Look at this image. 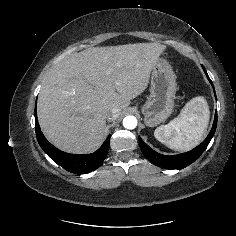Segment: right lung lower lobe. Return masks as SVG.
Wrapping results in <instances>:
<instances>
[{
  "label": "right lung lower lobe",
  "instance_id": "98d812e1",
  "mask_svg": "<svg viewBox=\"0 0 236 236\" xmlns=\"http://www.w3.org/2000/svg\"><path fill=\"white\" fill-rule=\"evenodd\" d=\"M35 131L38 143L43 151L65 170L78 175L89 173L101 166L107 156L110 146L111 135H109L103 145L92 154L77 155L60 151L49 143L41 132L37 119V101L35 108Z\"/></svg>",
  "mask_w": 236,
  "mask_h": 236
}]
</instances>
